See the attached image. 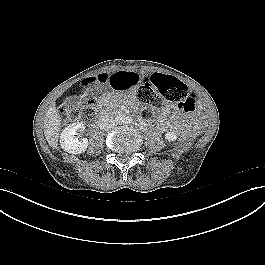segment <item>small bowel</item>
Returning <instances> with one entry per match:
<instances>
[{"instance_id": "c3829d8e", "label": "small bowel", "mask_w": 265, "mask_h": 265, "mask_svg": "<svg viewBox=\"0 0 265 265\" xmlns=\"http://www.w3.org/2000/svg\"><path fill=\"white\" fill-rule=\"evenodd\" d=\"M114 76V77H113ZM113 77V85L117 89H124L126 87H131L129 89L130 93L133 92L134 88L132 86H138L141 83L150 84L148 77L149 75L142 76L140 72L138 71H130V72H124V73H117L114 75L109 74H101L98 76L96 82L97 84H108L109 80ZM151 85V84H150ZM173 107L170 105H165L158 113V117L160 119H164L168 116L170 110ZM169 128L173 131H177L179 129V124L176 121H172L167 124V126H164L163 128Z\"/></svg>"}]
</instances>
